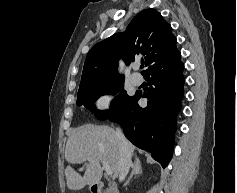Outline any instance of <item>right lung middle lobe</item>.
Returning a JSON list of instances; mask_svg holds the SVG:
<instances>
[{
  "label": "right lung middle lobe",
  "instance_id": "obj_1",
  "mask_svg": "<svg viewBox=\"0 0 237 193\" xmlns=\"http://www.w3.org/2000/svg\"><path fill=\"white\" fill-rule=\"evenodd\" d=\"M124 86V80H115L105 83H100L78 91L77 105H84L85 108L90 109L99 120L108 119L111 116L119 113L131 100L125 91L121 92L112 102L110 110L100 111L94 106L95 100L104 94H115L120 91Z\"/></svg>",
  "mask_w": 237,
  "mask_h": 193
}]
</instances>
